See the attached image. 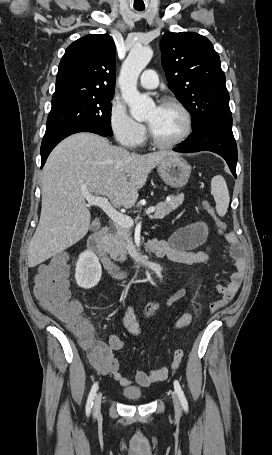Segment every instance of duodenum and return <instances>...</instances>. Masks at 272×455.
<instances>
[{
    "mask_svg": "<svg viewBox=\"0 0 272 455\" xmlns=\"http://www.w3.org/2000/svg\"><path fill=\"white\" fill-rule=\"evenodd\" d=\"M109 228L107 226L101 227L99 230L91 234L87 239V249L95 254L104 267L116 278L122 279L126 277L127 273L122 269L115 257H113L107 247V236ZM145 250L149 252L154 251L153 240L145 244Z\"/></svg>",
    "mask_w": 272,
    "mask_h": 455,
    "instance_id": "410a0bca",
    "label": "duodenum"
}]
</instances>
